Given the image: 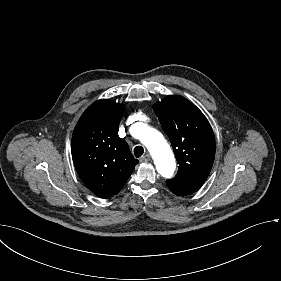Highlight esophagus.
I'll use <instances>...</instances> for the list:
<instances>
[{"instance_id":"obj_1","label":"esophagus","mask_w":281,"mask_h":281,"mask_svg":"<svg viewBox=\"0 0 281 281\" xmlns=\"http://www.w3.org/2000/svg\"><path fill=\"white\" fill-rule=\"evenodd\" d=\"M149 160H150V155L146 154L140 159V162H148Z\"/></svg>"}]
</instances>
